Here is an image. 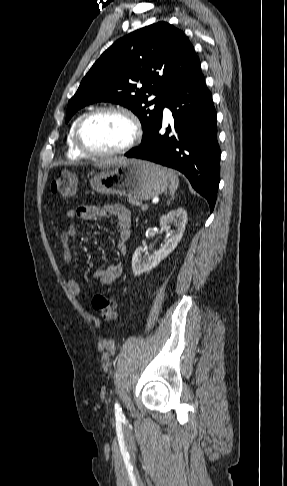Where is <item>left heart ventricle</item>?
Returning <instances> with one entry per match:
<instances>
[{"mask_svg": "<svg viewBox=\"0 0 287 486\" xmlns=\"http://www.w3.org/2000/svg\"><path fill=\"white\" fill-rule=\"evenodd\" d=\"M132 135L129 121L117 113H104L88 120L82 130L84 144L94 151H111L125 145Z\"/></svg>", "mask_w": 287, "mask_h": 486, "instance_id": "1", "label": "left heart ventricle"}]
</instances>
